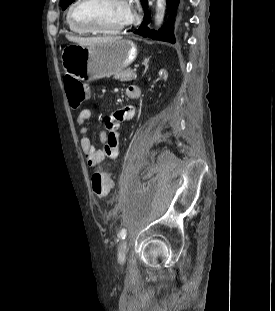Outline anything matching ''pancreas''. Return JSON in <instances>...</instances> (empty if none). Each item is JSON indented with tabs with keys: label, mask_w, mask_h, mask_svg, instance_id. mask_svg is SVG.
<instances>
[{
	"label": "pancreas",
	"mask_w": 275,
	"mask_h": 311,
	"mask_svg": "<svg viewBox=\"0 0 275 311\" xmlns=\"http://www.w3.org/2000/svg\"><path fill=\"white\" fill-rule=\"evenodd\" d=\"M136 78V74L131 70H124L115 75V79H118L122 82H127L134 80Z\"/></svg>",
	"instance_id": "1"
}]
</instances>
